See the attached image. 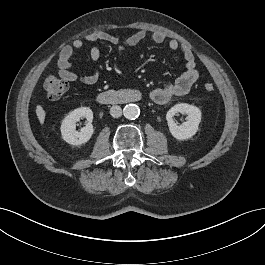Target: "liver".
Returning a JSON list of instances; mask_svg holds the SVG:
<instances>
[{"instance_id":"6515ba94","label":"liver","mask_w":265,"mask_h":265,"mask_svg":"<svg viewBox=\"0 0 265 265\" xmlns=\"http://www.w3.org/2000/svg\"><path fill=\"white\" fill-rule=\"evenodd\" d=\"M36 115H37V118H38L40 124H43L45 121L46 113H45V111L41 105L36 106Z\"/></svg>"}]
</instances>
